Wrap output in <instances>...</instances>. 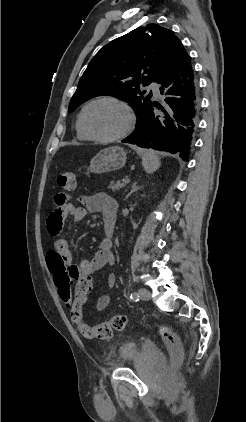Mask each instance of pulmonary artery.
Listing matches in <instances>:
<instances>
[{
    "instance_id": "1",
    "label": "pulmonary artery",
    "mask_w": 246,
    "mask_h": 422,
    "mask_svg": "<svg viewBox=\"0 0 246 422\" xmlns=\"http://www.w3.org/2000/svg\"><path fill=\"white\" fill-rule=\"evenodd\" d=\"M149 89L154 93V95L159 96V85L156 83H151L149 85Z\"/></svg>"
}]
</instances>
